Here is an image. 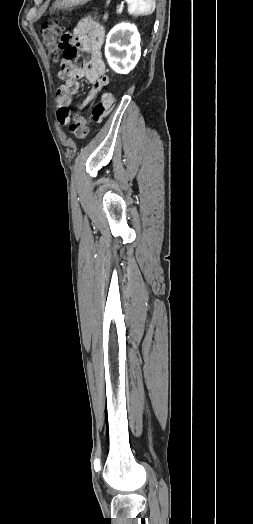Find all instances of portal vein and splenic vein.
Returning <instances> with one entry per match:
<instances>
[{
    "label": "portal vein and splenic vein",
    "mask_w": 253,
    "mask_h": 524,
    "mask_svg": "<svg viewBox=\"0 0 253 524\" xmlns=\"http://www.w3.org/2000/svg\"><path fill=\"white\" fill-rule=\"evenodd\" d=\"M122 10H123V6H120L118 9V12H122Z\"/></svg>",
    "instance_id": "obj_1"
}]
</instances>
